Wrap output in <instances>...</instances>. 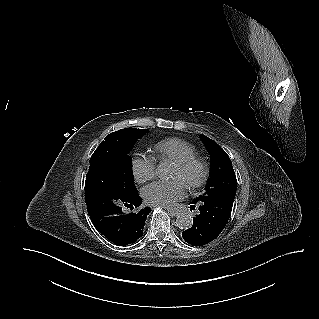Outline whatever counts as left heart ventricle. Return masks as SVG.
<instances>
[{"label": "left heart ventricle", "mask_w": 319, "mask_h": 319, "mask_svg": "<svg viewBox=\"0 0 319 319\" xmlns=\"http://www.w3.org/2000/svg\"><path fill=\"white\" fill-rule=\"evenodd\" d=\"M200 173V169L198 166H193L188 171H181L176 166H172L171 172H170V178L171 179H180L184 183H187L190 180H194L198 177Z\"/></svg>", "instance_id": "obj_1"}]
</instances>
